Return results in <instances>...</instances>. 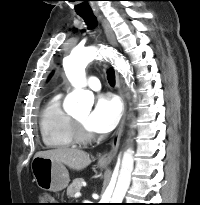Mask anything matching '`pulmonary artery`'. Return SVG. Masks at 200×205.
<instances>
[{
  "label": "pulmonary artery",
  "instance_id": "e3ab8cb5",
  "mask_svg": "<svg viewBox=\"0 0 200 205\" xmlns=\"http://www.w3.org/2000/svg\"><path fill=\"white\" fill-rule=\"evenodd\" d=\"M90 89L94 91H99L101 89V83L97 77H90L87 81Z\"/></svg>",
  "mask_w": 200,
  "mask_h": 205
}]
</instances>
